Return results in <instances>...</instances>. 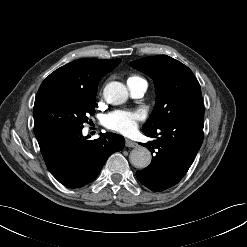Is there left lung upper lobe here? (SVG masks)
<instances>
[{
  "label": "left lung upper lobe",
  "mask_w": 247,
  "mask_h": 247,
  "mask_svg": "<svg viewBox=\"0 0 247 247\" xmlns=\"http://www.w3.org/2000/svg\"><path fill=\"white\" fill-rule=\"evenodd\" d=\"M130 65L154 79L156 87V105L143 132H153L177 119H204L201 88L187 66L167 55L145 57Z\"/></svg>",
  "instance_id": "5c2ea615"
}]
</instances>
